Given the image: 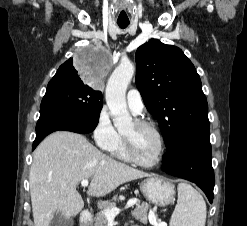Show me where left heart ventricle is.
I'll list each match as a JSON object with an SVG mask.
<instances>
[{
	"instance_id": "left-heart-ventricle-1",
	"label": "left heart ventricle",
	"mask_w": 247,
	"mask_h": 226,
	"mask_svg": "<svg viewBox=\"0 0 247 226\" xmlns=\"http://www.w3.org/2000/svg\"><path fill=\"white\" fill-rule=\"evenodd\" d=\"M123 133L130 137L133 151L144 162L154 161L159 153V140L149 128H139L131 123Z\"/></svg>"
}]
</instances>
